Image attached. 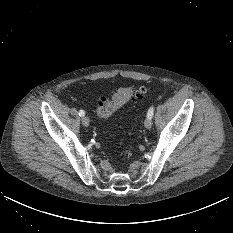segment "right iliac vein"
Here are the masks:
<instances>
[{
  "label": "right iliac vein",
  "mask_w": 233,
  "mask_h": 233,
  "mask_svg": "<svg viewBox=\"0 0 233 233\" xmlns=\"http://www.w3.org/2000/svg\"><path fill=\"white\" fill-rule=\"evenodd\" d=\"M81 121H82L83 126H85V127L89 126L90 121H89V118L87 116H83Z\"/></svg>",
  "instance_id": "1"
}]
</instances>
